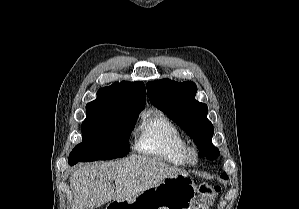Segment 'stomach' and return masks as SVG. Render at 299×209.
Segmentation results:
<instances>
[{
	"label": "stomach",
	"instance_id": "stomach-1",
	"mask_svg": "<svg viewBox=\"0 0 299 209\" xmlns=\"http://www.w3.org/2000/svg\"><path fill=\"white\" fill-rule=\"evenodd\" d=\"M197 188L188 176L174 175L132 199L113 201L115 209H195ZM109 209V208H108Z\"/></svg>",
	"mask_w": 299,
	"mask_h": 209
}]
</instances>
